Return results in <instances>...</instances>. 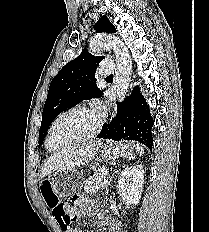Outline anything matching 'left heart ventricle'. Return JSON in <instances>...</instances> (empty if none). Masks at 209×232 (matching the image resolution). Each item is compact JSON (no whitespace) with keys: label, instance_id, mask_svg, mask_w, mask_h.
<instances>
[{"label":"left heart ventricle","instance_id":"1","mask_svg":"<svg viewBox=\"0 0 209 232\" xmlns=\"http://www.w3.org/2000/svg\"><path fill=\"white\" fill-rule=\"evenodd\" d=\"M94 113L75 111L64 116L53 129L50 147L56 149L70 138L77 137L90 131L97 123Z\"/></svg>","mask_w":209,"mask_h":232}]
</instances>
